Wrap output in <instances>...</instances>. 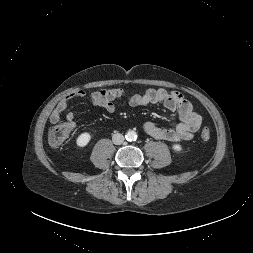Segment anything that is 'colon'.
Listing matches in <instances>:
<instances>
[{
  "label": "colon",
  "mask_w": 253,
  "mask_h": 253,
  "mask_svg": "<svg viewBox=\"0 0 253 253\" xmlns=\"http://www.w3.org/2000/svg\"><path fill=\"white\" fill-rule=\"evenodd\" d=\"M73 127L68 122L57 124L50 128L48 133L49 144L53 147L62 146L70 137ZM210 130L204 127L201 131V138L208 140L210 138Z\"/></svg>",
  "instance_id": "1"
}]
</instances>
